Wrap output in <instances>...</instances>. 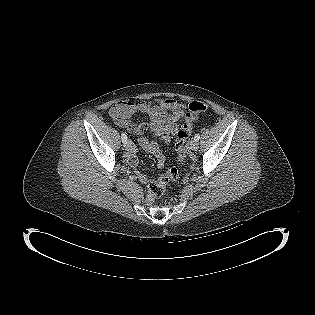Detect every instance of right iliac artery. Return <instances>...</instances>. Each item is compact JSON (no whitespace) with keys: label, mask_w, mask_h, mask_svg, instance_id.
I'll return each mask as SVG.
<instances>
[{"label":"right iliac artery","mask_w":315,"mask_h":315,"mask_svg":"<svg viewBox=\"0 0 315 315\" xmlns=\"http://www.w3.org/2000/svg\"><path fill=\"white\" fill-rule=\"evenodd\" d=\"M122 142L125 143L127 141V136L124 132L121 134Z\"/></svg>","instance_id":"obj_1"}]
</instances>
